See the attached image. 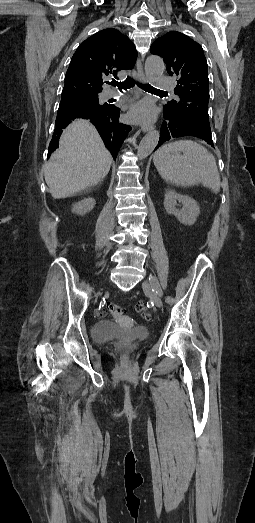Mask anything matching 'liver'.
I'll use <instances>...</instances> for the list:
<instances>
[{
  "label": "liver",
  "mask_w": 255,
  "mask_h": 523,
  "mask_svg": "<svg viewBox=\"0 0 255 523\" xmlns=\"http://www.w3.org/2000/svg\"><path fill=\"white\" fill-rule=\"evenodd\" d=\"M113 158L89 120H75L64 130L59 148L43 166L52 198H68L96 186L107 176Z\"/></svg>",
  "instance_id": "obj_1"
}]
</instances>
